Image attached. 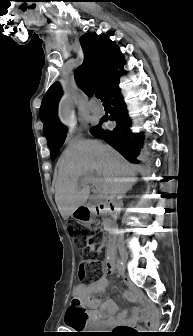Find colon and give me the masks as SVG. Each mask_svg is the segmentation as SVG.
<instances>
[{
	"label": "colon",
	"instance_id": "5ec220e1",
	"mask_svg": "<svg viewBox=\"0 0 193 336\" xmlns=\"http://www.w3.org/2000/svg\"><path fill=\"white\" fill-rule=\"evenodd\" d=\"M68 230L74 237L76 244L83 249V260L79 267V277L84 279L96 263V258L100 255L101 247L93 235H90L86 239L76 235L73 224L68 225ZM73 307L75 310L84 309L82 303L77 299L73 301ZM127 330L128 329H119L120 332H125Z\"/></svg>",
	"mask_w": 193,
	"mask_h": 336
}]
</instances>
